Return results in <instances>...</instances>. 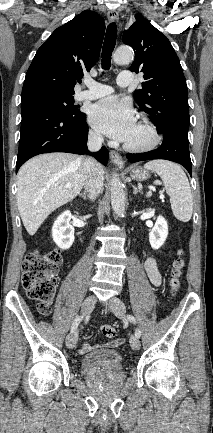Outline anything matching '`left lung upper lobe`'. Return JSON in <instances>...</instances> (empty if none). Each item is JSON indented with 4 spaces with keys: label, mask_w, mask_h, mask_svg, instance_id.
<instances>
[{
    "label": "left lung upper lobe",
    "mask_w": 213,
    "mask_h": 433,
    "mask_svg": "<svg viewBox=\"0 0 213 433\" xmlns=\"http://www.w3.org/2000/svg\"><path fill=\"white\" fill-rule=\"evenodd\" d=\"M135 18L123 34V42L135 52L130 69L143 72L146 80L134 98L158 131L176 128L188 133V91L179 58L163 33L142 15Z\"/></svg>",
    "instance_id": "left-lung-upper-lobe-1"
}]
</instances>
